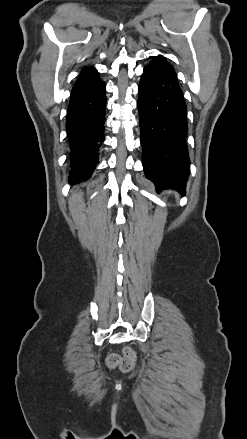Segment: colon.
Wrapping results in <instances>:
<instances>
[{"instance_id":"5ec220e1","label":"colon","mask_w":247,"mask_h":439,"mask_svg":"<svg viewBox=\"0 0 247 439\" xmlns=\"http://www.w3.org/2000/svg\"><path fill=\"white\" fill-rule=\"evenodd\" d=\"M135 353L134 351L126 347L122 354H111L107 359V364L111 368H118L123 372H127L132 369L135 363Z\"/></svg>"}]
</instances>
